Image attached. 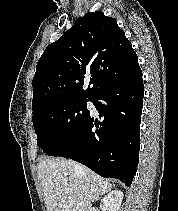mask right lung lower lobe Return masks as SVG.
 Instances as JSON below:
<instances>
[{
	"mask_svg": "<svg viewBox=\"0 0 178 211\" xmlns=\"http://www.w3.org/2000/svg\"><path fill=\"white\" fill-rule=\"evenodd\" d=\"M143 95L139 67L91 99L103 121L89 114L83 126L48 155L71 158L130 186L139 162Z\"/></svg>",
	"mask_w": 178,
	"mask_h": 211,
	"instance_id": "1",
	"label": "right lung lower lobe"
}]
</instances>
